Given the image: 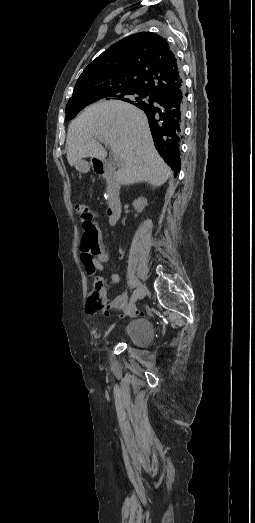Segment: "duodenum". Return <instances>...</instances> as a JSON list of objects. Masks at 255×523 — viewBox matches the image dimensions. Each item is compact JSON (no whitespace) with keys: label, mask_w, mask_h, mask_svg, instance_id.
Returning <instances> with one entry per match:
<instances>
[{"label":"duodenum","mask_w":255,"mask_h":523,"mask_svg":"<svg viewBox=\"0 0 255 523\" xmlns=\"http://www.w3.org/2000/svg\"><path fill=\"white\" fill-rule=\"evenodd\" d=\"M92 168L107 182V219L110 225H115L122 212L120 200V179L117 173V167L114 163L100 159H92Z\"/></svg>","instance_id":"410a0bca"}]
</instances>
